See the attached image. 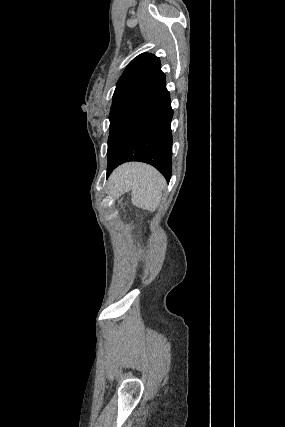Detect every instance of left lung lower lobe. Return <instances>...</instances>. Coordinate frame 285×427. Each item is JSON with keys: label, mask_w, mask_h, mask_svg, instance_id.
<instances>
[{"label": "left lung lower lobe", "mask_w": 285, "mask_h": 427, "mask_svg": "<svg viewBox=\"0 0 285 427\" xmlns=\"http://www.w3.org/2000/svg\"><path fill=\"white\" fill-rule=\"evenodd\" d=\"M172 117L170 96L164 84L120 136L107 176L120 164L140 161L154 166L169 181L172 173Z\"/></svg>", "instance_id": "0a47b994"}]
</instances>
